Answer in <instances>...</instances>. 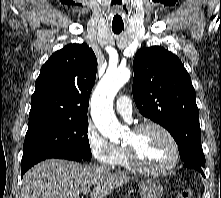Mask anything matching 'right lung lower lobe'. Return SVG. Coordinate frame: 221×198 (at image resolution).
Here are the masks:
<instances>
[{"label":"right lung lower lobe","mask_w":221,"mask_h":198,"mask_svg":"<svg viewBox=\"0 0 221 198\" xmlns=\"http://www.w3.org/2000/svg\"><path fill=\"white\" fill-rule=\"evenodd\" d=\"M49 158H59V159H68V160H73V161H82L85 160L82 157L73 155V154H69V153H51V154H47L44 156H41L39 158H37L36 160L32 161L31 163L22 166L21 167V176H23V174L29 169L31 168L33 165H35L36 163L45 160V159H49Z\"/></svg>","instance_id":"right-lung-lower-lobe-1"}]
</instances>
